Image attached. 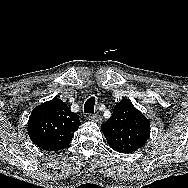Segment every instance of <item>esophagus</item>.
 <instances>
[{
    "label": "esophagus",
    "instance_id": "obj_1",
    "mask_svg": "<svg viewBox=\"0 0 188 188\" xmlns=\"http://www.w3.org/2000/svg\"><path fill=\"white\" fill-rule=\"evenodd\" d=\"M88 119H89V120H92V121H94V122H97V123H99V122L101 121V117H100V115H98V114H90V115L88 116Z\"/></svg>",
    "mask_w": 188,
    "mask_h": 188
}]
</instances>
